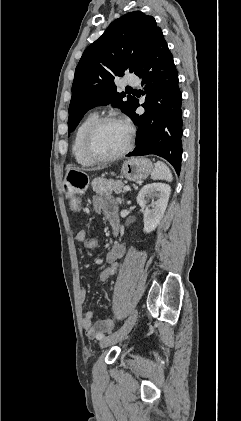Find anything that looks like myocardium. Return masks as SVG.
<instances>
[{"label":"myocardium","instance_id":"f54148a6","mask_svg":"<svg viewBox=\"0 0 241 421\" xmlns=\"http://www.w3.org/2000/svg\"><path fill=\"white\" fill-rule=\"evenodd\" d=\"M110 122H120V123L125 124L128 129V138H127V142L125 146L120 151L111 155H102L94 149L93 142H94L95 135L97 131L100 129V127ZM133 138H134V133L130 125L126 124L118 117L103 116V117L97 118L87 129L84 139H83V149H84L85 154L93 161L109 162V161L119 159L123 157L125 154H127L132 148Z\"/></svg>","mask_w":241,"mask_h":421}]
</instances>
